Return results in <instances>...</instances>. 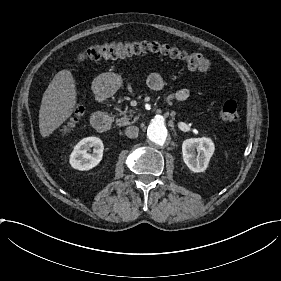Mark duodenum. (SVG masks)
I'll return each instance as SVG.
<instances>
[{"instance_id":"duodenum-1","label":"duodenum","mask_w":281,"mask_h":281,"mask_svg":"<svg viewBox=\"0 0 281 281\" xmlns=\"http://www.w3.org/2000/svg\"><path fill=\"white\" fill-rule=\"evenodd\" d=\"M107 98V94L105 91H98L96 93V99L99 102L104 101ZM93 127L99 132H107L110 130L112 126V119L111 117L102 111H98L94 113L91 119Z\"/></svg>"}]
</instances>
